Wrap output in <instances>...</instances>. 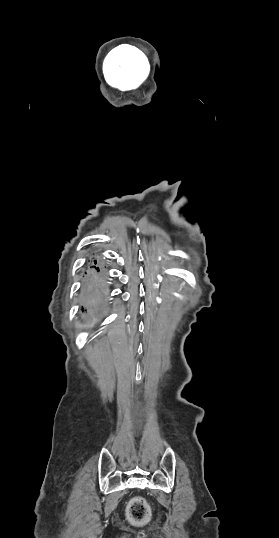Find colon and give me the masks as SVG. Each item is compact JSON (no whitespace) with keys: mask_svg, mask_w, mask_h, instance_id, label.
I'll list each match as a JSON object with an SVG mask.
<instances>
[{"mask_svg":"<svg viewBox=\"0 0 279 538\" xmlns=\"http://www.w3.org/2000/svg\"><path fill=\"white\" fill-rule=\"evenodd\" d=\"M129 518L133 523L144 522L149 514V507L142 498H134L128 507Z\"/></svg>","mask_w":279,"mask_h":538,"instance_id":"5ec220e1","label":"colon"}]
</instances>
